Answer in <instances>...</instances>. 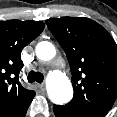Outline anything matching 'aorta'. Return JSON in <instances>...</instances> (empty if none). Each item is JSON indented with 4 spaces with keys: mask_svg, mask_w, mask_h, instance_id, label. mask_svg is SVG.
<instances>
[{
    "mask_svg": "<svg viewBox=\"0 0 117 117\" xmlns=\"http://www.w3.org/2000/svg\"><path fill=\"white\" fill-rule=\"evenodd\" d=\"M56 53L52 43L43 41L36 46V56L43 61H50ZM49 99L57 105L68 103L73 97V88L68 77L61 72H54L48 76L46 83Z\"/></svg>",
    "mask_w": 117,
    "mask_h": 117,
    "instance_id": "obj_1",
    "label": "aorta"
}]
</instances>
